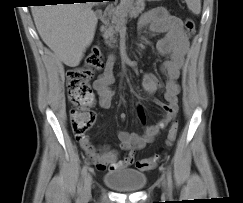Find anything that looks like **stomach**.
Returning a JSON list of instances; mask_svg holds the SVG:
<instances>
[{"label":"stomach","mask_w":243,"mask_h":203,"mask_svg":"<svg viewBox=\"0 0 243 203\" xmlns=\"http://www.w3.org/2000/svg\"><path fill=\"white\" fill-rule=\"evenodd\" d=\"M148 1H160V0H148Z\"/></svg>","instance_id":"obj_1"}]
</instances>
